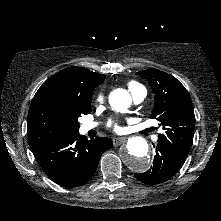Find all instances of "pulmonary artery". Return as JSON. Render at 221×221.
Here are the masks:
<instances>
[{
    "label": "pulmonary artery",
    "instance_id": "obj_1",
    "mask_svg": "<svg viewBox=\"0 0 221 221\" xmlns=\"http://www.w3.org/2000/svg\"><path fill=\"white\" fill-rule=\"evenodd\" d=\"M133 101L135 104H140L146 97V89L143 86L136 85L130 89ZM98 126V123L96 122H85L82 125V130L84 132H87L89 130H92ZM154 140H157V136H154Z\"/></svg>",
    "mask_w": 221,
    "mask_h": 221
}]
</instances>
